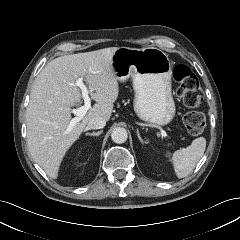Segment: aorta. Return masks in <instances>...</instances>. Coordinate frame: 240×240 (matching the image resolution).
Wrapping results in <instances>:
<instances>
[{
	"mask_svg": "<svg viewBox=\"0 0 240 240\" xmlns=\"http://www.w3.org/2000/svg\"><path fill=\"white\" fill-rule=\"evenodd\" d=\"M111 138H112L113 142H115L117 144H122V143L126 142V140L128 138L126 129L122 128V127L114 128L111 133Z\"/></svg>",
	"mask_w": 240,
	"mask_h": 240,
	"instance_id": "aorta-1",
	"label": "aorta"
}]
</instances>
